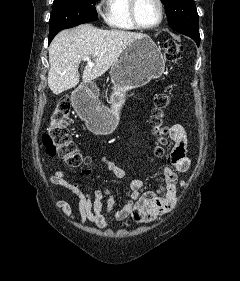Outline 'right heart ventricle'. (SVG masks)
Returning a JSON list of instances; mask_svg holds the SVG:
<instances>
[{"label": "right heart ventricle", "mask_w": 240, "mask_h": 281, "mask_svg": "<svg viewBox=\"0 0 240 281\" xmlns=\"http://www.w3.org/2000/svg\"><path fill=\"white\" fill-rule=\"evenodd\" d=\"M108 26L116 30L132 31L134 26L129 15V0H106L104 14Z\"/></svg>", "instance_id": "1"}]
</instances>
